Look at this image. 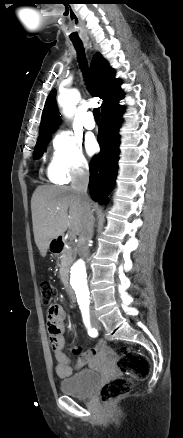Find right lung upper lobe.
<instances>
[{
  "instance_id": "1",
  "label": "right lung upper lobe",
  "mask_w": 183,
  "mask_h": 438,
  "mask_svg": "<svg viewBox=\"0 0 183 438\" xmlns=\"http://www.w3.org/2000/svg\"><path fill=\"white\" fill-rule=\"evenodd\" d=\"M91 93L103 100L101 112L123 98V91L120 88L121 80L115 78V71L108 62L97 53L94 55L91 65ZM56 91L52 90L48 95L42 114L39 137L52 134L59 125V112L55 99Z\"/></svg>"
}]
</instances>
